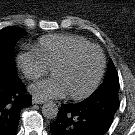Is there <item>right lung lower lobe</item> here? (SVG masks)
<instances>
[{
	"mask_svg": "<svg viewBox=\"0 0 135 135\" xmlns=\"http://www.w3.org/2000/svg\"><path fill=\"white\" fill-rule=\"evenodd\" d=\"M31 99L19 77L0 81V135L16 134L20 111Z\"/></svg>",
	"mask_w": 135,
	"mask_h": 135,
	"instance_id": "1",
	"label": "right lung lower lobe"
}]
</instances>
